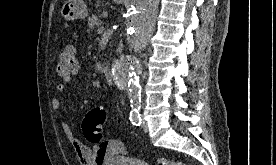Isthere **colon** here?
Masks as SVG:
<instances>
[{"label":"colon","mask_w":276,"mask_h":165,"mask_svg":"<svg viewBox=\"0 0 276 165\" xmlns=\"http://www.w3.org/2000/svg\"><path fill=\"white\" fill-rule=\"evenodd\" d=\"M78 57L73 45H66L60 53L57 72L61 77H71L77 72ZM106 120V111L103 108H93L82 120V130L87 140L96 145L100 154L121 152L122 147L114 140L105 139L102 132ZM157 165H187L179 161H170L159 158Z\"/></svg>","instance_id":"colon-1"}]
</instances>
